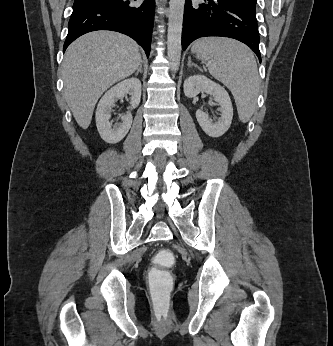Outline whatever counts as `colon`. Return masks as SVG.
<instances>
[{
    "label": "colon",
    "instance_id": "5ec220e1",
    "mask_svg": "<svg viewBox=\"0 0 333 346\" xmlns=\"http://www.w3.org/2000/svg\"><path fill=\"white\" fill-rule=\"evenodd\" d=\"M173 250L163 249L152 257V269L148 270L150 287V297L152 301V309L163 312L169 307L168 296L176 283L167 271H173Z\"/></svg>",
    "mask_w": 333,
    "mask_h": 346
}]
</instances>
